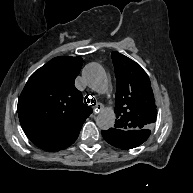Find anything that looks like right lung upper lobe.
Here are the masks:
<instances>
[{
	"label": "right lung upper lobe",
	"mask_w": 193,
	"mask_h": 193,
	"mask_svg": "<svg viewBox=\"0 0 193 193\" xmlns=\"http://www.w3.org/2000/svg\"><path fill=\"white\" fill-rule=\"evenodd\" d=\"M83 60L55 57L27 81L18 101L23 131L38 147L58 151L70 146L92 113L74 86Z\"/></svg>",
	"instance_id": "right-lung-upper-lobe-1"
}]
</instances>
